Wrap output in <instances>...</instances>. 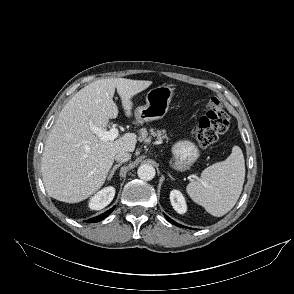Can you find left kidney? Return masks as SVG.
<instances>
[{
	"label": "left kidney",
	"mask_w": 294,
	"mask_h": 294,
	"mask_svg": "<svg viewBox=\"0 0 294 294\" xmlns=\"http://www.w3.org/2000/svg\"><path fill=\"white\" fill-rule=\"evenodd\" d=\"M170 202L177 213L184 214L187 211L185 198L180 191L172 190L170 192Z\"/></svg>",
	"instance_id": "5707ae66"
}]
</instances>
